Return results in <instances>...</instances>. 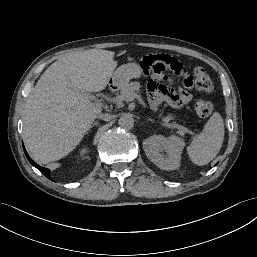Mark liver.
Wrapping results in <instances>:
<instances>
[{
    "label": "liver",
    "instance_id": "liver-1",
    "mask_svg": "<svg viewBox=\"0 0 257 257\" xmlns=\"http://www.w3.org/2000/svg\"><path fill=\"white\" fill-rule=\"evenodd\" d=\"M114 52L89 49L69 53L41 75L25 104L24 139L34 160L57 161L80 143L100 104L88 93L106 88L117 62Z\"/></svg>",
    "mask_w": 257,
    "mask_h": 257
}]
</instances>
